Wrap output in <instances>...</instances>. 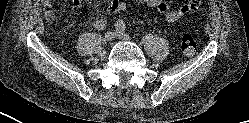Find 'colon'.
I'll return each instance as SVG.
<instances>
[{
    "instance_id": "1",
    "label": "colon",
    "mask_w": 249,
    "mask_h": 123,
    "mask_svg": "<svg viewBox=\"0 0 249 123\" xmlns=\"http://www.w3.org/2000/svg\"><path fill=\"white\" fill-rule=\"evenodd\" d=\"M197 49V43L194 37L190 34H186L181 39V50L185 56H192Z\"/></svg>"
}]
</instances>
